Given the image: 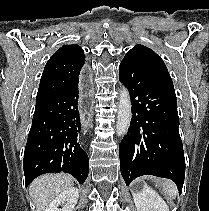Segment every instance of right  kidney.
<instances>
[{
	"mask_svg": "<svg viewBox=\"0 0 209 211\" xmlns=\"http://www.w3.org/2000/svg\"><path fill=\"white\" fill-rule=\"evenodd\" d=\"M79 198V191L75 187H70L59 194L46 208L45 211H73ZM63 206L59 208V206Z\"/></svg>",
	"mask_w": 209,
	"mask_h": 211,
	"instance_id": "1",
	"label": "right kidney"
}]
</instances>
